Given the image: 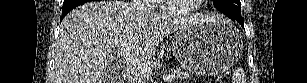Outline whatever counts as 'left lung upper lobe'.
<instances>
[{"mask_svg":"<svg viewBox=\"0 0 307 83\" xmlns=\"http://www.w3.org/2000/svg\"><path fill=\"white\" fill-rule=\"evenodd\" d=\"M213 4L226 16L242 18L240 0H213Z\"/></svg>","mask_w":307,"mask_h":83,"instance_id":"5c2ea615","label":"left lung upper lobe"}]
</instances>
